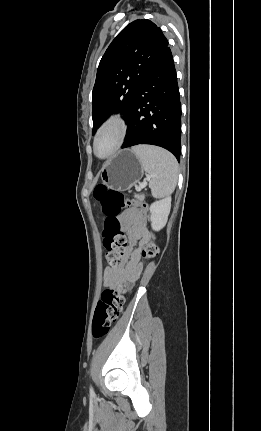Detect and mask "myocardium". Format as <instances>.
Masks as SVG:
<instances>
[{
  "instance_id": "1",
  "label": "myocardium",
  "mask_w": 261,
  "mask_h": 431,
  "mask_svg": "<svg viewBox=\"0 0 261 431\" xmlns=\"http://www.w3.org/2000/svg\"><path fill=\"white\" fill-rule=\"evenodd\" d=\"M109 129H114L116 132V141L112 149L105 155H99L97 153L96 147L99 137ZM127 123L126 120L120 114H112L107 119H105L102 124L98 127L95 135L93 137L92 148L94 155L99 159H107L113 156L122 147L126 135H127Z\"/></svg>"
}]
</instances>
